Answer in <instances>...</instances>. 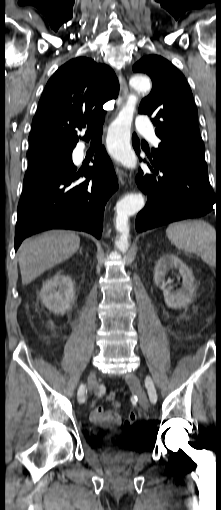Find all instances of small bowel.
Masks as SVG:
<instances>
[{
  "mask_svg": "<svg viewBox=\"0 0 221 510\" xmlns=\"http://www.w3.org/2000/svg\"><path fill=\"white\" fill-rule=\"evenodd\" d=\"M90 420L101 427H115L122 422V416L115 411H107L102 406L93 407L90 412Z\"/></svg>",
  "mask_w": 221,
  "mask_h": 510,
  "instance_id": "small-bowel-1",
  "label": "small bowel"
}]
</instances>
